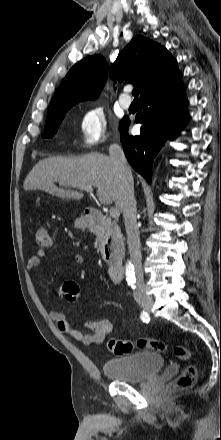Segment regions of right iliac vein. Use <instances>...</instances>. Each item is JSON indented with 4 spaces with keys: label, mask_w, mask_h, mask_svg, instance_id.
<instances>
[{
    "label": "right iliac vein",
    "mask_w": 221,
    "mask_h": 440,
    "mask_svg": "<svg viewBox=\"0 0 221 440\" xmlns=\"http://www.w3.org/2000/svg\"><path fill=\"white\" fill-rule=\"evenodd\" d=\"M139 304L145 311L149 312L153 305V300L152 298H147L145 300L140 301Z\"/></svg>",
    "instance_id": "right-iliac-vein-1"
}]
</instances>
